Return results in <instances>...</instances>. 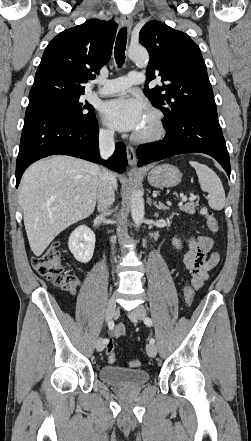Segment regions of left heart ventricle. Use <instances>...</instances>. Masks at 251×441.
I'll use <instances>...</instances> for the list:
<instances>
[{
    "label": "left heart ventricle",
    "instance_id": "left-heart-ventricle-1",
    "mask_svg": "<svg viewBox=\"0 0 251 441\" xmlns=\"http://www.w3.org/2000/svg\"><path fill=\"white\" fill-rule=\"evenodd\" d=\"M151 129H152V120H151L150 116L147 113L145 122H144L142 128L140 129V131L137 134L148 133V132H150Z\"/></svg>",
    "mask_w": 251,
    "mask_h": 441
}]
</instances>
